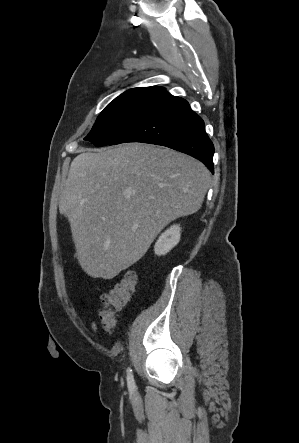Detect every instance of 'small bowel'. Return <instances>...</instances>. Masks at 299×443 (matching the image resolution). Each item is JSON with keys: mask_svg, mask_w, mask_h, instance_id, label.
Here are the masks:
<instances>
[{"mask_svg": "<svg viewBox=\"0 0 299 443\" xmlns=\"http://www.w3.org/2000/svg\"><path fill=\"white\" fill-rule=\"evenodd\" d=\"M91 329H92L94 332L97 331V325H96L95 322H92V323H91Z\"/></svg>", "mask_w": 299, "mask_h": 443, "instance_id": "c3829d8e", "label": "small bowel"}]
</instances>
